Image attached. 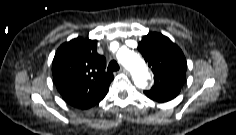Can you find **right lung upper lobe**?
<instances>
[{"instance_id": "1", "label": "right lung upper lobe", "mask_w": 236, "mask_h": 135, "mask_svg": "<svg viewBox=\"0 0 236 135\" xmlns=\"http://www.w3.org/2000/svg\"><path fill=\"white\" fill-rule=\"evenodd\" d=\"M97 40L75 38L62 44L53 59L52 74L63 99L83 107L107 94L114 79L106 72V60L97 53Z\"/></svg>"}]
</instances>
